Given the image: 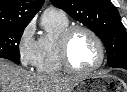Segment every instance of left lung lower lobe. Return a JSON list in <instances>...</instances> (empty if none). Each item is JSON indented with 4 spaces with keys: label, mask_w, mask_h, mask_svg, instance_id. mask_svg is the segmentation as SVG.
Listing matches in <instances>:
<instances>
[{
    "label": "left lung lower lobe",
    "mask_w": 127,
    "mask_h": 92,
    "mask_svg": "<svg viewBox=\"0 0 127 92\" xmlns=\"http://www.w3.org/2000/svg\"><path fill=\"white\" fill-rule=\"evenodd\" d=\"M110 67H118V68L127 69V61L126 60L120 61L119 63L113 64Z\"/></svg>",
    "instance_id": "1"
}]
</instances>
